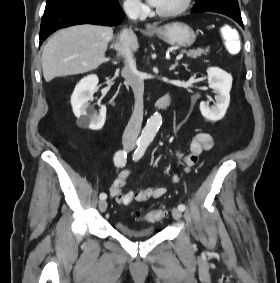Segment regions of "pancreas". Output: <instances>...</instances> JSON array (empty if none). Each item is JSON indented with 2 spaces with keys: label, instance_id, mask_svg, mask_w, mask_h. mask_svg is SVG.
Masks as SVG:
<instances>
[{
  "label": "pancreas",
  "instance_id": "cf45deb5",
  "mask_svg": "<svg viewBox=\"0 0 280 283\" xmlns=\"http://www.w3.org/2000/svg\"><path fill=\"white\" fill-rule=\"evenodd\" d=\"M208 52H209V47H207L206 49L198 48L197 50L189 51L187 53V56L192 59H196L201 57L202 55H207Z\"/></svg>",
  "mask_w": 280,
  "mask_h": 283
}]
</instances>
